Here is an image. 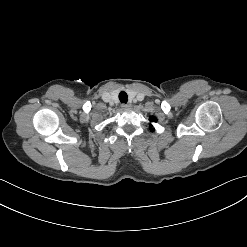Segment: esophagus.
I'll use <instances>...</instances> for the list:
<instances>
[{
	"mask_svg": "<svg viewBox=\"0 0 247 247\" xmlns=\"http://www.w3.org/2000/svg\"><path fill=\"white\" fill-rule=\"evenodd\" d=\"M121 107H122L123 109H128V108L131 107V105H130V104H122Z\"/></svg>",
	"mask_w": 247,
	"mask_h": 247,
	"instance_id": "obj_1",
	"label": "esophagus"
}]
</instances>
